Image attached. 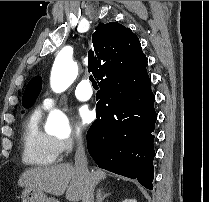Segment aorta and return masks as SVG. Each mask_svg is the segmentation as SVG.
<instances>
[{"label": "aorta", "instance_id": "aorta-1", "mask_svg": "<svg viewBox=\"0 0 209 202\" xmlns=\"http://www.w3.org/2000/svg\"><path fill=\"white\" fill-rule=\"evenodd\" d=\"M78 68L72 57L64 53H59L54 61L50 85L55 93L65 91L76 79ZM45 131L48 133H70L68 117L60 110H53L48 115L45 123Z\"/></svg>", "mask_w": 209, "mask_h": 202}]
</instances>
